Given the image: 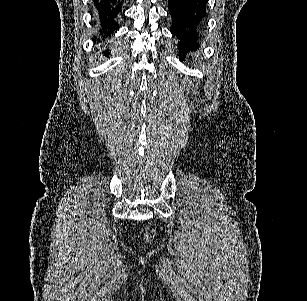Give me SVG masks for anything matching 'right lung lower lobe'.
<instances>
[{
    "instance_id": "obj_1",
    "label": "right lung lower lobe",
    "mask_w": 307,
    "mask_h": 301,
    "mask_svg": "<svg viewBox=\"0 0 307 301\" xmlns=\"http://www.w3.org/2000/svg\"><path fill=\"white\" fill-rule=\"evenodd\" d=\"M93 7L100 33L106 38L110 37L118 29L117 16L122 8L120 0H93ZM105 54H108V51Z\"/></svg>"
}]
</instances>
